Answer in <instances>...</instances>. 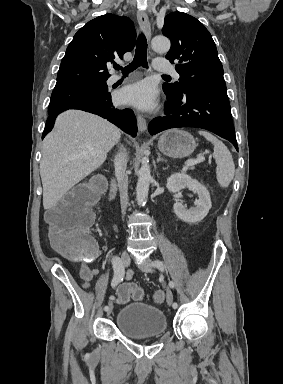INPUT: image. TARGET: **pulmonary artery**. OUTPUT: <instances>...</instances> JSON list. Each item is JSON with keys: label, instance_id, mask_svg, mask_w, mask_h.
<instances>
[{"label": "pulmonary artery", "instance_id": "e3ab8cb5", "mask_svg": "<svg viewBox=\"0 0 283 384\" xmlns=\"http://www.w3.org/2000/svg\"><path fill=\"white\" fill-rule=\"evenodd\" d=\"M154 67L156 68V71H166L167 75H174L175 77L179 78V73L177 72V69L174 68L173 64L170 63V61H155ZM123 76L121 74H113L111 75L107 83L109 85L116 83L119 81Z\"/></svg>", "mask_w": 283, "mask_h": 384}]
</instances>
